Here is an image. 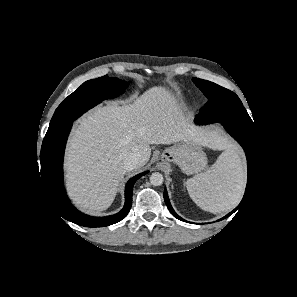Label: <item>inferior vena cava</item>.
<instances>
[{
    "instance_id": "obj_1",
    "label": "inferior vena cava",
    "mask_w": 297,
    "mask_h": 297,
    "mask_svg": "<svg viewBox=\"0 0 297 297\" xmlns=\"http://www.w3.org/2000/svg\"><path fill=\"white\" fill-rule=\"evenodd\" d=\"M142 162L141 155L139 153H131L124 162V169L126 171H131L135 169Z\"/></svg>"
}]
</instances>
